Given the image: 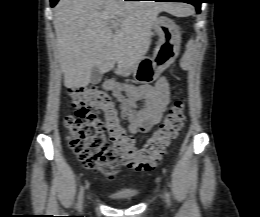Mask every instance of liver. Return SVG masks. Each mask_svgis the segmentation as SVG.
I'll return each mask as SVG.
<instances>
[{"label": "liver", "instance_id": "6515ba94", "mask_svg": "<svg viewBox=\"0 0 260 217\" xmlns=\"http://www.w3.org/2000/svg\"><path fill=\"white\" fill-rule=\"evenodd\" d=\"M162 11L178 17L187 12L167 2L60 0L53 23L64 86L86 87L94 66L106 73L115 62L122 71L135 65L149 50L152 26Z\"/></svg>", "mask_w": 260, "mask_h": 217}]
</instances>
